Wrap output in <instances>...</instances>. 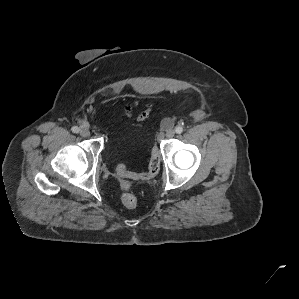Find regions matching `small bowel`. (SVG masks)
I'll use <instances>...</instances> for the list:
<instances>
[{
	"instance_id": "small-bowel-1",
	"label": "small bowel",
	"mask_w": 299,
	"mask_h": 299,
	"mask_svg": "<svg viewBox=\"0 0 299 299\" xmlns=\"http://www.w3.org/2000/svg\"><path fill=\"white\" fill-rule=\"evenodd\" d=\"M136 106H137V103L134 102V103L128 104L125 107V115L128 119L132 118V114H133V111ZM151 112H152V105L148 104L146 106L145 110H143L136 118V121L139 126H142V124L149 118Z\"/></svg>"
}]
</instances>
